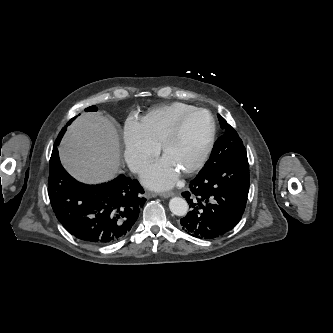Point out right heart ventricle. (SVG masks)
<instances>
[{"label":"right heart ventricle","instance_id":"1","mask_svg":"<svg viewBox=\"0 0 333 333\" xmlns=\"http://www.w3.org/2000/svg\"><path fill=\"white\" fill-rule=\"evenodd\" d=\"M195 106L185 102H173L149 110L141 119L144 130L158 147L178 118Z\"/></svg>","mask_w":333,"mask_h":333}]
</instances>
